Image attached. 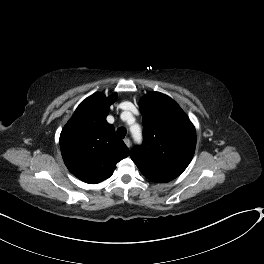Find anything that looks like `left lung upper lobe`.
Segmentation results:
<instances>
[{"label":"left lung upper lobe","instance_id":"1","mask_svg":"<svg viewBox=\"0 0 264 264\" xmlns=\"http://www.w3.org/2000/svg\"><path fill=\"white\" fill-rule=\"evenodd\" d=\"M144 140L130 157L153 182H169L189 165L195 152L196 131L188 116L170 97L151 92L140 101Z\"/></svg>","mask_w":264,"mask_h":264}]
</instances>
